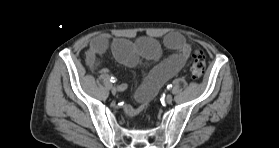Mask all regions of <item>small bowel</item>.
Masks as SVG:
<instances>
[{"label": "small bowel", "instance_id": "c3829d8e", "mask_svg": "<svg viewBox=\"0 0 279 148\" xmlns=\"http://www.w3.org/2000/svg\"><path fill=\"white\" fill-rule=\"evenodd\" d=\"M163 43L173 54L159 61L162 50L155 39L142 38L133 43L124 39H112L109 34H100L90 43L85 53V63L92 71L107 73V69L99 67L98 58L107 51L110 44L117 60L128 67H135L142 62H157L134 93L140 105L125 107L126 114L133 116L145 109L162 85L175 76L192 56L191 45L180 33L167 34Z\"/></svg>", "mask_w": 279, "mask_h": 148}]
</instances>
